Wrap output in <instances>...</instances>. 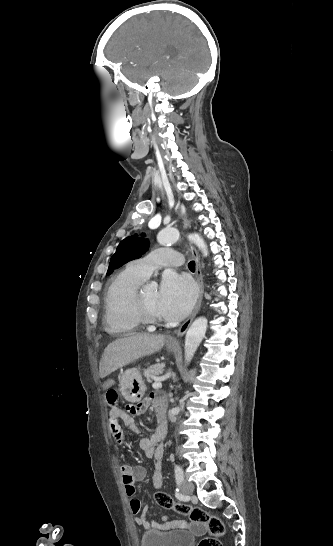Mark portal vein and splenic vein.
<instances>
[{"instance_id": "18ae733b", "label": "portal vein and splenic vein", "mask_w": 333, "mask_h": 546, "mask_svg": "<svg viewBox=\"0 0 333 546\" xmlns=\"http://www.w3.org/2000/svg\"><path fill=\"white\" fill-rule=\"evenodd\" d=\"M164 379H165L164 377H163V378L157 379V380L152 384V387H153L154 389L161 388V387H162L161 381L164 380Z\"/></svg>"}]
</instances>
